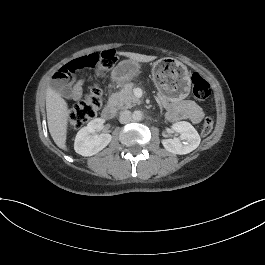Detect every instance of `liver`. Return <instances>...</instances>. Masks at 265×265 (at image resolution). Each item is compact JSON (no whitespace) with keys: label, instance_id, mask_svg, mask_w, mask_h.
<instances>
[{"label":"liver","instance_id":"1","mask_svg":"<svg viewBox=\"0 0 265 265\" xmlns=\"http://www.w3.org/2000/svg\"><path fill=\"white\" fill-rule=\"evenodd\" d=\"M118 55L129 57L137 62H150L155 60L156 56H147L132 52H118ZM46 111L49 132L56 145L67 150L66 133L69 111L67 103L56 90L48 87L46 90Z\"/></svg>","mask_w":265,"mask_h":265}]
</instances>
